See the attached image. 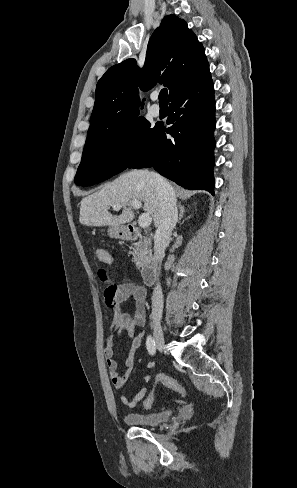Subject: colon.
<instances>
[{
	"label": "colon",
	"instance_id": "obj_1",
	"mask_svg": "<svg viewBox=\"0 0 297 488\" xmlns=\"http://www.w3.org/2000/svg\"><path fill=\"white\" fill-rule=\"evenodd\" d=\"M95 255L99 261L106 258V254L102 249H97L95 251ZM99 275L102 281L107 283V286L104 291L106 303L109 307H113L115 305L117 285L109 279V276L105 270L101 269ZM161 383H163L168 388L172 389L174 392L180 394L181 396L186 395V390L184 386L178 383L176 380L172 379V376L170 374H167L166 371L164 370L159 371L158 375L154 377L155 386H160ZM156 395H157V390L151 389L150 392L148 393L147 398L144 400L143 403L146 409L149 410L152 408L154 396Z\"/></svg>",
	"mask_w": 297,
	"mask_h": 488
}]
</instances>
